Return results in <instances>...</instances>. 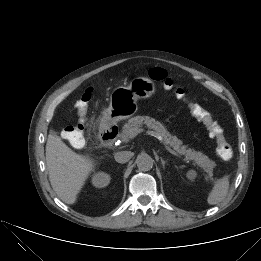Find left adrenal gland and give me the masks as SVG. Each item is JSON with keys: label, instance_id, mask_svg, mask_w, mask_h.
I'll use <instances>...</instances> for the list:
<instances>
[{"label": "left adrenal gland", "instance_id": "left-adrenal-gland-1", "mask_svg": "<svg viewBox=\"0 0 261 261\" xmlns=\"http://www.w3.org/2000/svg\"><path fill=\"white\" fill-rule=\"evenodd\" d=\"M161 162H162V165H163V168L165 169V164H166V161L161 157Z\"/></svg>", "mask_w": 261, "mask_h": 261}]
</instances>
